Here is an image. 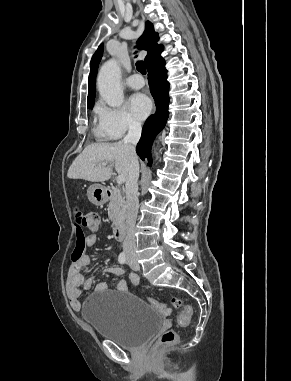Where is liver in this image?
Listing matches in <instances>:
<instances>
[{
	"label": "liver",
	"mask_w": 291,
	"mask_h": 381,
	"mask_svg": "<svg viewBox=\"0 0 291 381\" xmlns=\"http://www.w3.org/2000/svg\"><path fill=\"white\" fill-rule=\"evenodd\" d=\"M103 163L106 166H102ZM113 168L117 171L118 177L127 179L130 153L123 141L88 145L73 161L67 176L70 179L103 182L111 178Z\"/></svg>",
	"instance_id": "obj_1"
}]
</instances>
